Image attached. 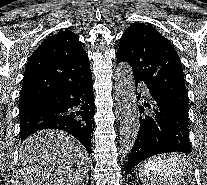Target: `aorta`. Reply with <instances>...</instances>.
Masks as SVG:
<instances>
[{"mask_svg":"<svg viewBox=\"0 0 207 185\" xmlns=\"http://www.w3.org/2000/svg\"><path fill=\"white\" fill-rule=\"evenodd\" d=\"M114 81L120 112V154L125 157L131 152L140 127L134 76L128 63L118 64Z\"/></svg>","mask_w":207,"mask_h":185,"instance_id":"1","label":"aorta"}]
</instances>
